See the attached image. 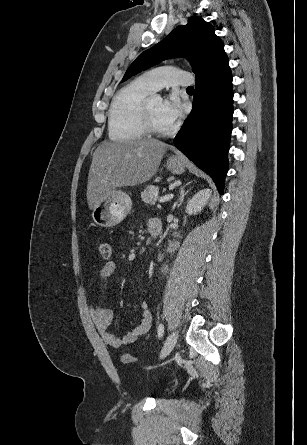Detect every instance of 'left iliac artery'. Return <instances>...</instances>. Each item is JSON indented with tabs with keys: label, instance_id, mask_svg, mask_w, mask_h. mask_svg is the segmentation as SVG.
<instances>
[{
	"label": "left iliac artery",
	"instance_id": "obj_1",
	"mask_svg": "<svg viewBox=\"0 0 307 445\" xmlns=\"http://www.w3.org/2000/svg\"><path fill=\"white\" fill-rule=\"evenodd\" d=\"M158 337L161 338L164 333V324L160 323L157 328Z\"/></svg>",
	"mask_w": 307,
	"mask_h": 445
}]
</instances>
